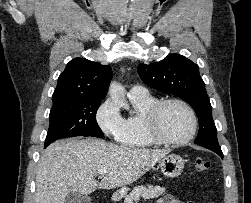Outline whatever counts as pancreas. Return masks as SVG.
<instances>
[{
  "mask_svg": "<svg viewBox=\"0 0 251 203\" xmlns=\"http://www.w3.org/2000/svg\"><path fill=\"white\" fill-rule=\"evenodd\" d=\"M165 192V188L160 186L148 185L136 186L133 188L130 194L126 195L124 198V203H137L142 197L144 200L157 198Z\"/></svg>",
  "mask_w": 251,
  "mask_h": 203,
  "instance_id": "1",
  "label": "pancreas"
}]
</instances>
